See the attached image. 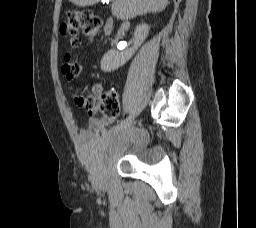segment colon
I'll return each mask as SVG.
<instances>
[{
    "label": "colon",
    "instance_id": "1",
    "mask_svg": "<svg viewBox=\"0 0 256 228\" xmlns=\"http://www.w3.org/2000/svg\"><path fill=\"white\" fill-rule=\"evenodd\" d=\"M101 20L91 11H73L68 13L67 20L61 25V33L67 38L72 48L80 45L79 31L89 39H93L99 31ZM80 64L71 53H66L62 73L68 80L77 78L80 74ZM77 103L88 112H101L105 117L114 118L119 112L118 95L115 91H108L99 97L79 96Z\"/></svg>",
    "mask_w": 256,
    "mask_h": 228
}]
</instances>
